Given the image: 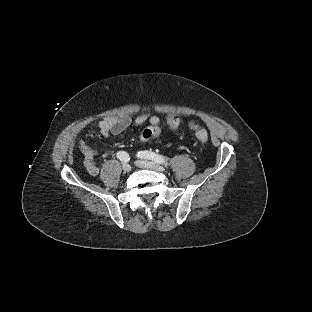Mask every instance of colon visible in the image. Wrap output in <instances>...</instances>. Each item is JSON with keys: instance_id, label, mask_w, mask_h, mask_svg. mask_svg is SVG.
Masks as SVG:
<instances>
[{"instance_id": "colon-1", "label": "colon", "mask_w": 312, "mask_h": 312, "mask_svg": "<svg viewBox=\"0 0 312 312\" xmlns=\"http://www.w3.org/2000/svg\"><path fill=\"white\" fill-rule=\"evenodd\" d=\"M166 121L168 123V126L170 128H175L177 124H179L180 119L177 116L169 115L166 118ZM160 133V130L158 127L153 125H148L143 127L139 132V139L141 142L146 143L149 141L150 137H156ZM197 138L202 142L206 143L208 141L207 134L204 131L198 130L196 131Z\"/></svg>"}]
</instances>
